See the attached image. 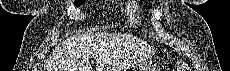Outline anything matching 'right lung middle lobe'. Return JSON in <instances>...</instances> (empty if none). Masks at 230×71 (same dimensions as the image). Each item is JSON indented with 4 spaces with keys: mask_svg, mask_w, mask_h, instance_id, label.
I'll return each mask as SVG.
<instances>
[{
    "mask_svg": "<svg viewBox=\"0 0 230 71\" xmlns=\"http://www.w3.org/2000/svg\"><path fill=\"white\" fill-rule=\"evenodd\" d=\"M85 2V0H75V5L76 6H80V5H82L83 3Z\"/></svg>",
    "mask_w": 230,
    "mask_h": 71,
    "instance_id": "1",
    "label": "right lung middle lobe"
}]
</instances>
